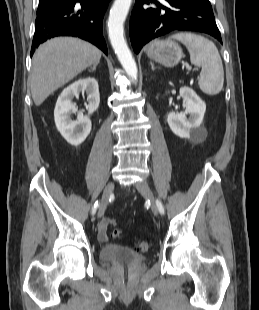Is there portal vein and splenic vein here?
Instances as JSON below:
<instances>
[{
    "mask_svg": "<svg viewBox=\"0 0 259 310\" xmlns=\"http://www.w3.org/2000/svg\"><path fill=\"white\" fill-rule=\"evenodd\" d=\"M186 68L188 69V71L191 70V66L187 65Z\"/></svg>",
    "mask_w": 259,
    "mask_h": 310,
    "instance_id": "obj_1",
    "label": "portal vein and splenic vein"
}]
</instances>
